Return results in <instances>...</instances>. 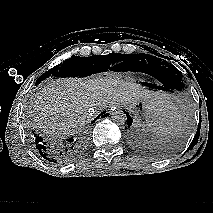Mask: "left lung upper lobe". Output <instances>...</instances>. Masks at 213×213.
<instances>
[{"label":"left lung upper lobe","mask_w":213,"mask_h":213,"mask_svg":"<svg viewBox=\"0 0 213 213\" xmlns=\"http://www.w3.org/2000/svg\"><path fill=\"white\" fill-rule=\"evenodd\" d=\"M134 60L133 63L138 71L149 74L156 79H166L173 85L174 90H183L181 72L167 61L149 54H136Z\"/></svg>","instance_id":"obj_1"}]
</instances>
